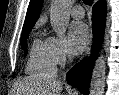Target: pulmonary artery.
Instances as JSON below:
<instances>
[{
  "label": "pulmonary artery",
  "mask_w": 119,
  "mask_h": 95,
  "mask_svg": "<svg viewBox=\"0 0 119 95\" xmlns=\"http://www.w3.org/2000/svg\"><path fill=\"white\" fill-rule=\"evenodd\" d=\"M71 14L74 18L81 19L84 17V10L81 6H74L71 10Z\"/></svg>",
  "instance_id": "1"
}]
</instances>
